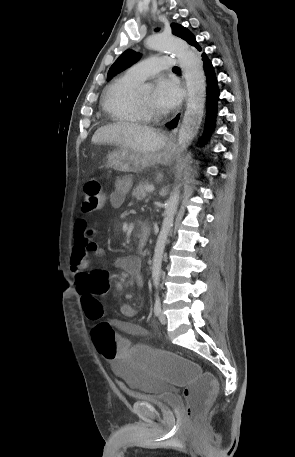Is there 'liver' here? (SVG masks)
I'll use <instances>...</instances> for the list:
<instances>
[{"label": "liver", "mask_w": 295, "mask_h": 457, "mask_svg": "<svg viewBox=\"0 0 295 457\" xmlns=\"http://www.w3.org/2000/svg\"><path fill=\"white\" fill-rule=\"evenodd\" d=\"M93 144H110L127 148L137 153H155L166 144V137L157 130L129 122H118L97 129Z\"/></svg>", "instance_id": "6515ba94"}]
</instances>
